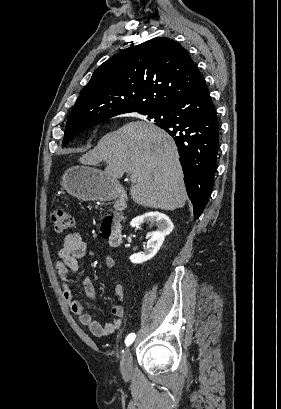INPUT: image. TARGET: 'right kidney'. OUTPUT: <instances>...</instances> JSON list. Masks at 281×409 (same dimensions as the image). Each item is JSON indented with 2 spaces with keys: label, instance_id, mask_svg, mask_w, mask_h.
I'll list each match as a JSON object with an SVG mask.
<instances>
[{
  "label": "right kidney",
  "instance_id": "right-kidney-1",
  "mask_svg": "<svg viewBox=\"0 0 281 409\" xmlns=\"http://www.w3.org/2000/svg\"><path fill=\"white\" fill-rule=\"evenodd\" d=\"M142 223H157V231H153L151 239L147 243V247L144 249V253H135L129 257L131 263H145L152 259L159 251L166 235H170L174 229L172 221H170L167 215L163 213H158V211H151V213H144L140 217H135L132 219L130 225L131 227H138Z\"/></svg>",
  "mask_w": 281,
  "mask_h": 409
}]
</instances>
